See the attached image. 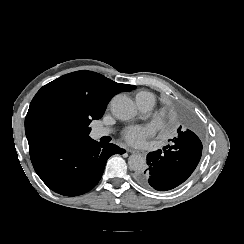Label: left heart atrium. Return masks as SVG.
Returning a JSON list of instances; mask_svg holds the SVG:
<instances>
[{"instance_id": "39dd6f15", "label": "left heart atrium", "mask_w": 244, "mask_h": 244, "mask_svg": "<svg viewBox=\"0 0 244 244\" xmlns=\"http://www.w3.org/2000/svg\"><path fill=\"white\" fill-rule=\"evenodd\" d=\"M151 136V131L144 127H134L124 133L125 140L131 145H141Z\"/></svg>"}]
</instances>
